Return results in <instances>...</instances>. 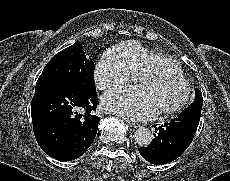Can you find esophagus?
<instances>
[{
	"label": "esophagus",
	"instance_id": "34e87169",
	"mask_svg": "<svg viewBox=\"0 0 230 181\" xmlns=\"http://www.w3.org/2000/svg\"><path fill=\"white\" fill-rule=\"evenodd\" d=\"M126 121L128 122V124H129L130 127H133V128H138V127H140V124H138V123L131 122V121H129V120H126Z\"/></svg>",
	"mask_w": 230,
	"mask_h": 181
}]
</instances>
